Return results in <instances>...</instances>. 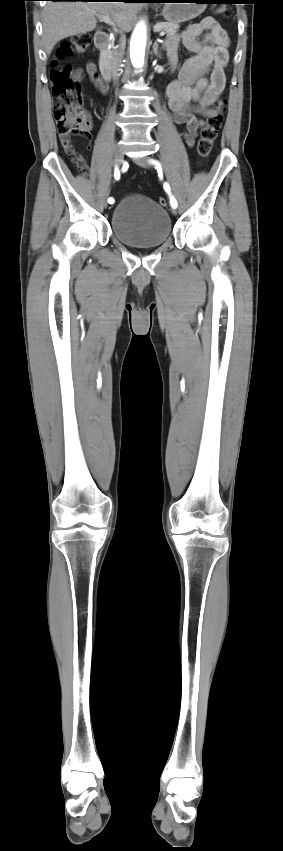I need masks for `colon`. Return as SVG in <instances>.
Instances as JSON below:
<instances>
[{
    "mask_svg": "<svg viewBox=\"0 0 283 851\" xmlns=\"http://www.w3.org/2000/svg\"><path fill=\"white\" fill-rule=\"evenodd\" d=\"M214 13L218 16L228 17L230 9L221 5L215 7ZM90 43L91 37L88 33L75 34L61 44L57 56L58 58H65L73 54L82 55L88 50ZM50 80L54 97L53 116L60 139H70L72 135L89 138L90 122L83 110L81 87L74 77L72 68L68 65L53 67L50 72ZM224 108V101L217 102L213 113L209 115L201 129L197 151L203 158L208 157L211 153L214 142L222 128ZM72 161L80 172H85L86 168L80 154L72 155ZM159 203L165 206L167 200L161 197Z\"/></svg>",
    "mask_w": 283,
    "mask_h": 851,
    "instance_id": "colon-1",
    "label": "colon"
}]
</instances>
